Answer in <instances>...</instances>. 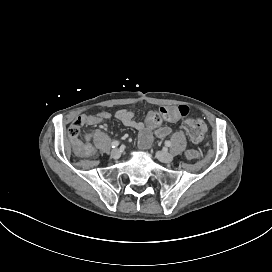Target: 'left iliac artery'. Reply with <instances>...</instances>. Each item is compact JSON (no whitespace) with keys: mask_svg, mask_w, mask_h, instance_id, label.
<instances>
[{"mask_svg":"<svg viewBox=\"0 0 272 272\" xmlns=\"http://www.w3.org/2000/svg\"><path fill=\"white\" fill-rule=\"evenodd\" d=\"M165 146L170 147L171 146V142L170 141H165Z\"/></svg>","mask_w":272,"mask_h":272,"instance_id":"obj_1","label":"left iliac artery"}]
</instances>
